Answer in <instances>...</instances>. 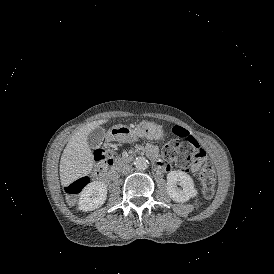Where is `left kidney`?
Masks as SVG:
<instances>
[{
    "label": "left kidney",
    "mask_w": 274,
    "mask_h": 274,
    "mask_svg": "<svg viewBox=\"0 0 274 274\" xmlns=\"http://www.w3.org/2000/svg\"><path fill=\"white\" fill-rule=\"evenodd\" d=\"M167 193L176 202L188 201L191 196L195 195L192 178L180 170L170 172L167 175Z\"/></svg>",
    "instance_id": "5707ae66"
}]
</instances>
